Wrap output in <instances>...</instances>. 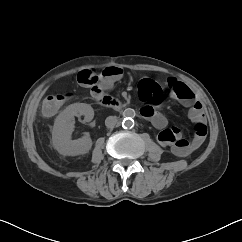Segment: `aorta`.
<instances>
[{
    "instance_id": "aorta-1",
    "label": "aorta",
    "mask_w": 242,
    "mask_h": 242,
    "mask_svg": "<svg viewBox=\"0 0 242 242\" xmlns=\"http://www.w3.org/2000/svg\"><path fill=\"white\" fill-rule=\"evenodd\" d=\"M136 113L135 110L132 108H127L123 112V121H122V127L127 129V128H132L134 126V120L133 118L135 117Z\"/></svg>"
}]
</instances>
